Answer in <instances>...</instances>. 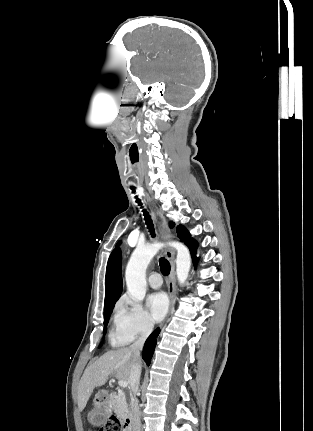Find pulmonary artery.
I'll return each instance as SVG.
<instances>
[{
	"label": "pulmonary artery",
	"mask_w": 313,
	"mask_h": 431,
	"mask_svg": "<svg viewBox=\"0 0 313 431\" xmlns=\"http://www.w3.org/2000/svg\"><path fill=\"white\" fill-rule=\"evenodd\" d=\"M148 283H149L150 287H152L154 289L160 288L162 285L161 275L157 272L151 273L148 277Z\"/></svg>",
	"instance_id": "pulmonary-artery-1"
}]
</instances>
